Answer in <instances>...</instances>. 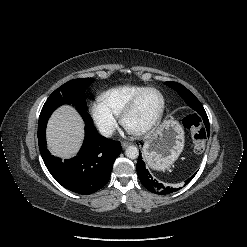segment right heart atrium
I'll return each mask as SVG.
<instances>
[{"label": "right heart atrium", "mask_w": 247, "mask_h": 247, "mask_svg": "<svg viewBox=\"0 0 247 247\" xmlns=\"http://www.w3.org/2000/svg\"><path fill=\"white\" fill-rule=\"evenodd\" d=\"M92 119L99 131L106 137L111 136L117 127V117L101 101L90 105Z\"/></svg>", "instance_id": "obj_1"}]
</instances>
